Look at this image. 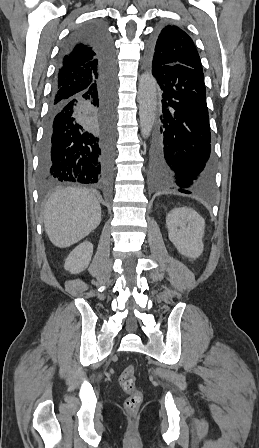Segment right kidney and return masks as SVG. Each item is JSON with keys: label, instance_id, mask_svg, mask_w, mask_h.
<instances>
[{"label": "right kidney", "instance_id": "obj_1", "mask_svg": "<svg viewBox=\"0 0 259 448\" xmlns=\"http://www.w3.org/2000/svg\"><path fill=\"white\" fill-rule=\"evenodd\" d=\"M92 254L93 244L91 242H82L69 254L64 264L65 270L71 272V274H80V272L88 268Z\"/></svg>", "mask_w": 259, "mask_h": 448}]
</instances>
